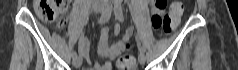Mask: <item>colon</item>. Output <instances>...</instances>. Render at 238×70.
<instances>
[{
  "label": "colon",
  "instance_id": "obj_1",
  "mask_svg": "<svg viewBox=\"0 0 238 70\" xmlns=\"http://www.w3.org/2000/svg\"><path fill=\"white\" fill-rule=\"evenodd\" d=\"M155 8L163 9L166 6L165 0L153 1ZM34 8L38 16L48 22L56 20L67 8L66 0H35ZM183 6L179 1L172 3L169 13L161 17L159 14H152V25L155 29H162L165 33H170L179 24L180 15L182 13ZM132 33H124L122 36L123 44H129ZM117 69L120 70H132L135 67V59L131 55L118 54V60L116 62Z\"/></svg>",
  "mask_w": 238,
  "mask_h": 70
}]
</instances>
